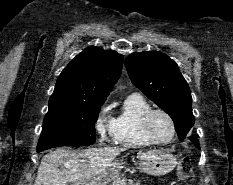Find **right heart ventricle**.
Listing matches in <instances>:
<instances>
[{"label":"right heart ventricle","instance_id":"1","mask_svg":"<svg viewBox=\"0 0 233 185\" xmlns=\"http://www.w3.org/2000/svg\"><path fill=\"white\" fill-rule=\"evenodd\" d=\"M149 102L140 94L128 95L114 117V140L129 147H147L153 144L144 134L142 120L151 110Z\"/></svg>","mask_w":233,"mask_h":185}]
</instances>
